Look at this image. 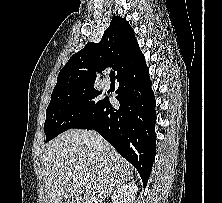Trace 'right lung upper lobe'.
Listing matches in <instances>:
<instances>
[{
    "label": "right lung upper lobe",
    "mask_w": 222,
    "mask_h": 203,
    "mask_svg": "<svg viewBox=\"0 0 222 203\" xmlns=\"http://www.w3.org/2000/svg\"><path fill=\"white\" fill-rule=\"evenodd\" d=\"M134 31L122 17H114L101 41L87 43L60 70L53 92L93 85L96 71L112 67L117 76L144 62Z\"/></svg>",
    "instance_id": "right-lung-upper-lobe-1"
}]
</instances>
